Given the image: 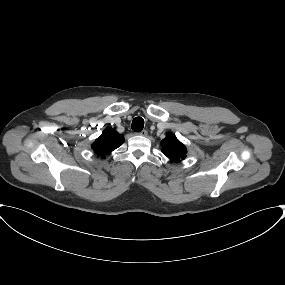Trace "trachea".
<instances>
[{"instance_id": "obj_1", "label": "trachea", "mask_w": 285, "mask_h": 285, "mask_svg": "<svg viewBox=\"0 0 285 285\" xmlns=\"http://www.w3.org/2000/svg\"><path fill=\"white\" fill-rule=\"evenodd\" d=\"M132 130L135 132H140L142 131L143 127H144V120L142 117H136L133 119L132 121Z\"/></svg>"}]
</instances>
